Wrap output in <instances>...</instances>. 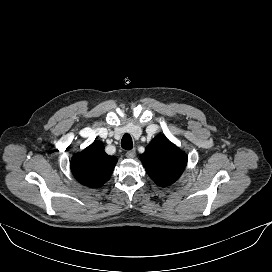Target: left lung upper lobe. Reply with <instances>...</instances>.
<instances>
[{"label":"left lung upper lobe","instance_id":"left-lung-upper-lobe-1","mask_svg":"<svg viewBox=\"0 0 272 272\" xmlns=\"http://www.w3.org/2000/svg\"><path fill=\"white\" fill-rule=\"evenodd\" d=\"M149 176L160 186L174 183L183 173L187 155L165 136H156L141 155Z\"/></svg>","mask_w":272,"mask_h":272}]
</instances>
